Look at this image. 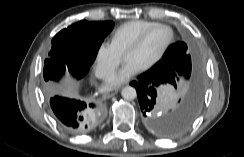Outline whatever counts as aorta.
<instances>
[{
  "instance_id": "obj_1",
  "label": "aorta",
  "mask_w": 244,
  "mask_h": 157,
  "mask_svg": "<svg viewBox=\"0 0 244 157\" xmlns=\"http://www.w3.org/2000/svg\"><path fill=\"white\" fill-rule=\"evenodd\" d=\"M121 95L126 100H133L136 98L137 93L134 87L126 86L122 89Z\"/></svg>"
}]
</instances>
